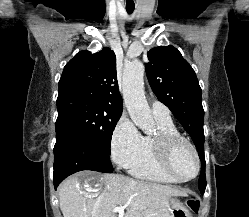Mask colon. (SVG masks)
<instances>
[{"label": "colon", "instance_id": "colon-1", "mask_svg": "<svg viewBox=\"0 0 249 217\" xmlns=\"http://www.w3.org/2000/svg\"><path fill=\"white\" fill-rule=\"evenodd\" d=\"M185 205L186 207L191 210L192 212H198L200 209V201L199 199L194 196L191 195L189 196L186 200H185Z\"/></svg>", "mask_w": 249, "mask_h": 217}]
</instances>
